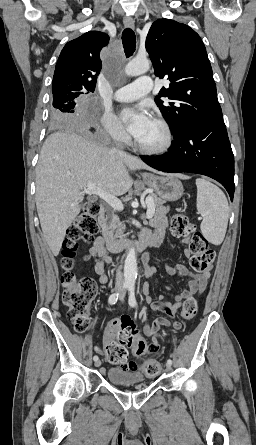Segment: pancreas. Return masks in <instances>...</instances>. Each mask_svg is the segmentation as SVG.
I'll use <instances>...</instances> for the list:
<instances>
[{
    "label": "pancreas",
    "instance_id": "obj_1",
    "mask_svg": "<svg viewBox=\"0 0 256 445\" xmlns=\"http://www.w3.org/2000/svg\"><path fill=\"white\" fill-rule=\"evenodd\" d=\"M155 208V216L165 218L167 214L166 208L163 206L165 203L162 199L156 196H151ZM102 228V234L107 239L122 238L124 236L125 225L120 221L117 214L106 217L99 221Z\"/></svg>",
    "mask_w": 256,
    "mask_h": 445
}]
</instances>
